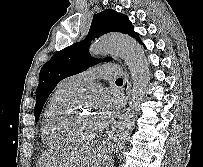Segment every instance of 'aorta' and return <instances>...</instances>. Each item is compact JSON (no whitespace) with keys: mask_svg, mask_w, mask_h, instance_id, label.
<instances>
[{"mask_svg":"<svg viewBox=\"0 0 203 167\" xmlns=\"http://www.w3.org/2000/svg\"><path fill=\"white\" fill-rule=\"evenodd\" d=\"M90 51L94 56L115 54L123 58L133 80V103L122 114L106 142L107 152L115 154L123 148L134 128L138 105L142 101L150 80L149 63L143 48L133 38L126 35H104L92 44Z\"/></svg>","mask_w":203,"mask_h":167,"instance_id":"762f6f07","label":"aorta"}]
</instances>
